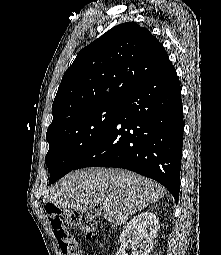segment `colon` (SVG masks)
<instances>
[{"mask_svg":"<svg viewBox=\"0 0 221 255\" xmlns=\"http://www.w3.org/2000/svg\"><path fill=\"white\" fill-rule=\"evenodd\" d=\"M49 214L55 238L64 255H82L71 234V227L79 228L88 238H95L98 234V222L93 215L62 210L55 205H50Z\"/></svg>","mask_w":221,"mask_h":255,"instance_id":"1","label":"colon"}]
</instances>
